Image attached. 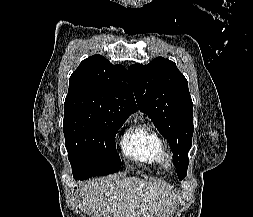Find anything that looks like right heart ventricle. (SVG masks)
Listing matches in <instances>:
<instances>
[{
    "instance_id": "obj_1",
    "label": "right heart ventricle",
    "mask_w": 253,
    "mask_h": 217,
    "mask_svg": "<svg viewBox=\"0 0 253 217\" xmlns=\"http://www.w3.org/2000/svg\"><path fill=\"white\" fill-rule=\"evenodd\" d=\"M163 148L162 140L147 123L129 128L121 139L123 154L148 167L161 166Z\"/></svg>"
}]
</instances>
